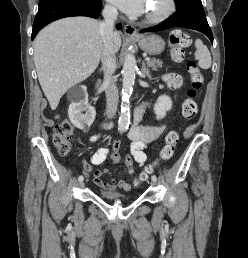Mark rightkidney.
Here are the masks:
<instances>
[{
	"label": "right kidney",
	"instance_id": "1",
	"mask_svg": "<svg viewBox=\"0 0 248 258\" xmlns=\"http://www.w3.org/2000/svg\"><path fill=\"white\" fill-rule=\"evenodd\" d=\"M68 98L70 100L68 116L71 123L79 129L90 127L94 122L96 111L88 103L87 88L85 86L73 88L68 93ZM83 111L85 114L82 113Z\"/></svg>",
	"mask_w": 248,
	"mask_h": 258
}]
</instances>
